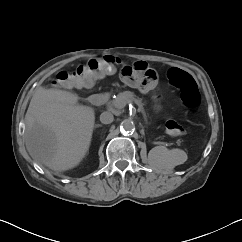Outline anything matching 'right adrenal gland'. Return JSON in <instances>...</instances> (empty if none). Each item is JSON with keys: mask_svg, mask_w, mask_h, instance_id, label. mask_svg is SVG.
Returning <instances> with one entry per match:
<instances>
[{"mask_svg": "<svg viewBox=\"0 0 242 242\" xmlns=\"http://www.w3.org/2000/svg\"><path fill=\"white\" fill-rule=\"evenodd\" d=\"M102 125L101 124H97V125H95V127H101Z\"/></svg>", "mask_w": 242, "mask_h": 242, "instance_id": "2a0ac1e0", "label": "right adrenal gland"}]
</instances>
